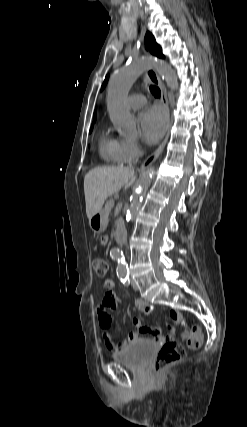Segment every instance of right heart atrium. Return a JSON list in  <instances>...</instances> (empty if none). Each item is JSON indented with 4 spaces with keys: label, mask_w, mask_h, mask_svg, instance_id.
Listing matches in <instances>:
<instances>
[{
    "label": "right heart atrium",
    "mask_w": 247,
    "mask_h": 427,
    "mask_svg": "<svg viewBox=\"0 0 247 427\" xmlns=\"http://www.w3.org/2000/svg\"><path fill=\"white\" fill-rule=\"evenodd\" d=\"M141 152L140 145L135 140H125V153L128 160L136 158Z\"/></svg>",
    "instance_id": "obj_1"
}]
</instances>
